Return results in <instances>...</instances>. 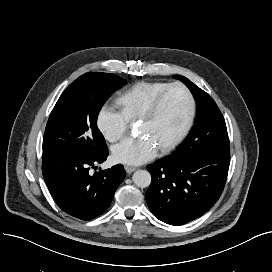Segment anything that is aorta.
Segmentation results:
<instances>
[{
	"instance_id": "aorta-1",
	"label": "aorta",
	"mask_w": 272,
	"mask_h": 272,
	"mask_svg": "<svg viewBox=\"0 0 272 272\" xmlns=\"http://www.w3.org/2000/svg\"><path fill=\"white\" fill-rule=\"evenodd\" d=\"M132 180L136 186L146 188L151 183V174L146 170H138L133 174Z\"/></svg>"
}]
</instances>
